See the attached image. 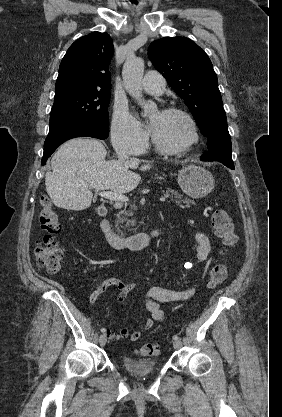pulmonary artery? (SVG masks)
I'll return each mask as SVG.
<instances>
[{"label":"pulmonary artery","mask_w":282,"mask_h":417,"mask_svg":"<svg viewBox=\"0 0 282 417\" xmlns=\"http://www.w3.org/2000/svg\"><path fill=\"white\" fill-rule=\"evenodd\" d=\"M165 86L164 77L155 71L147 73L141 81V88L149 94L160 95L164 91Z\"/></svg>","instance_id":"pulmonary-artery-1"}]
</instances>
